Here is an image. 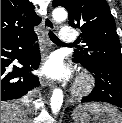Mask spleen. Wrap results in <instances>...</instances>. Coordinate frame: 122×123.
I'll return each instance as SVG.
<instances>
[{"label": "spleen", "mask_w": 122, "mask_h": 123, "mask_svg": "<svg viewBox=\"0 0 122 123\" xmlns=\"http://www.w3.org/2000/svg\"><path fill=\"white\" fill-rule=\"evenodd\" d=\"M90 112L101 123H122V114L117 108L109 104L87 103L78 105L73 112V118Z\"/></svg>", "instance_id": "3e777b00"}]
</instances>
